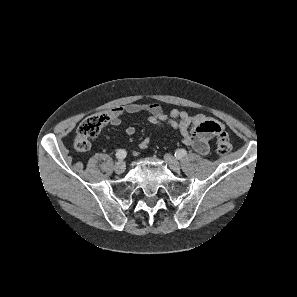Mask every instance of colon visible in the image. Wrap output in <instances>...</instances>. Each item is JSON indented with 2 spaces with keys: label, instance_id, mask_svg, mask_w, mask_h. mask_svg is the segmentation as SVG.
<instances>
[{
  "label": "colon",
  "instance_id": "colon-1",
  "mask_svg": "<svg viewBox=\"0 0 297 297\" xmlns=\"http://www.w3.org/2000/svg\"><path fill=\"white\" fill-rule=\"evenodd\" d=\"M112 119V113L99 112L85 118L77 128L74 149L84 153L90 149V140L96 137L102 127ZM232 149L229 135L221 131L216 138V151L219 155H227Z\"/></svg>",
  "mask_w": 297,
  "mask_h": 297
}]
</instances>
